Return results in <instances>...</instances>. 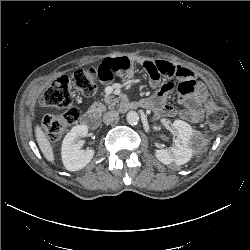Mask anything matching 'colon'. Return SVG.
Instances as JSON below:
<instances>
[{
    "instance_id": "colon-1",
    "label": "colon",
    "mask_w": 250,
    "mask_h": 250,
    "mask_svg": "<svg viewBox=\"0 0 250 250\" xmlns=\"http://www.w3.org/2000/svg\"><path fill=\"white\" fill-rule=\"evenodd\" d=\"M97 78V69H79L71 77L62 75L56 78L43 92L40 104L60 111L57 114H46L42 118V127L50 139H59L70 125L77 122L80 112L72 104L74 92L85 96L94 95L97 91ZM204 103L209 128L213 131L220 129L226 119L225 110L214 104L208 95H205Z\"/></svg>"
}]
</instances>
